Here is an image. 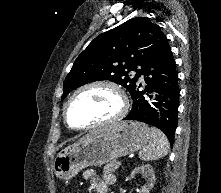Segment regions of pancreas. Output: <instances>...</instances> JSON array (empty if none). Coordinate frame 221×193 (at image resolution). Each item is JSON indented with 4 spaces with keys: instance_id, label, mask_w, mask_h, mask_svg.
I'll return each instance as SVG.
<instances>
[{
    "instance_id": "obj_1",
    "label": "pancreas",
    "mask_w": 221,
    "mask_h": 193,
    "mask_svg": "<svg viewBox=\"0 0 221 193\" xmlns=\"http://www.w3.org/2000/svg\"><path fill=\"white\" fill-rule=\"evenodd\" d=\"M118 167H119L118 161L112 160L104 166L103 174L104 175L111 174V173L115 172V170L118 169Z\"/></svg>"
}]
</instances>
